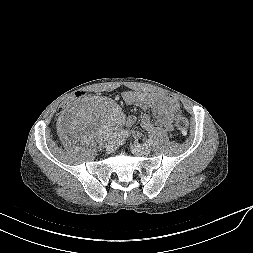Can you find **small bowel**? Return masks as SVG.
I'll list each match as a JSON object with an SVG mask.
<instances>
[{"mask_svg":"<svg viewBox=\"0 0 253 253\" xmlns=\"http://www.w3.org/2000/svg\"><path fill=\"white\" fill-rule=\"evenodd\" d=\"M125 103L129 105H136L143 110H152L155 121L153 122L151 116L144 114L141 120V127L146 131H154L157 128H164L166 130L173 129L174 121L181 114L180 103L171 97L158 96L151 93H142L135 91H126L122 94ZM136 123V118L130 116L126 122V127H132ZM134 135L139 137V131H135Z\"/></svg>","mask_w":253,"mask_h":253,"instance_id":"1","label":"small bowel"}]
</instances>
